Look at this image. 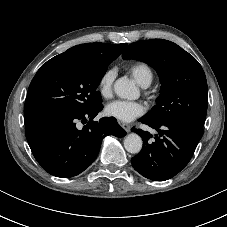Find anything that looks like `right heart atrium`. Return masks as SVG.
<instances>
[{
	"instance_id": "obj_1",
	"label": "right heart atrium",
	"mask_w": 227,
	"mask_h": 227,
	"mask_svg": "<svg viewBox=\"0 0 227 227\" xmlns=\"http://www.w3.org/2000/svg\"><path fill=\"white\" fill-rule=\"evenodd\" d=\"M115 75L116 73L114 69H107L100 76L97 89L102 97L108 98L111 96Z\"/></svg>"
}]
</instances>
